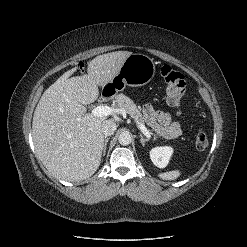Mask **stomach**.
<instances>
[{"label": "stomach", "instance_id": "obj_1", "mask_svg": "<svg viewBox=\"0 0 247 247\" xmlns=\"http://www.w3.org/2000/svg\"><path fill=\"white\" fill-rule=\"evenodd\" d=\"M154 60L144 54H131L126 58L120 71L104 86L112 94L122 91L125 86L139 87L149 83L155 76Z\"/></svg>", "mask_w": 247, "mask_h": 247}]
</instances>
